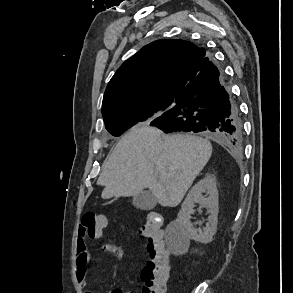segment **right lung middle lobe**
<instances>
[{"mask_svg":"<svg viewBox=\"0 0 293 293\" xmlns=\"http://www.w3.org/2000/svg\"><path fill=\"white\" fill-rule=\"evenodd\" d=\"M175 99L164 101L154 109L149 108L137 112L108 117L104 119L105 127L107 131L113 136H120L122 133H124L126 130H128L130 127L137 124L138 122L153 120L167 110L171 109L175 105ZM169 104L172 105L165 110V107Z\"/></svg>","mask_w":293,"mask_h":293,"instance_id":"dd1d6c3e","label":"right lung middle lobe"}]
</instances>
